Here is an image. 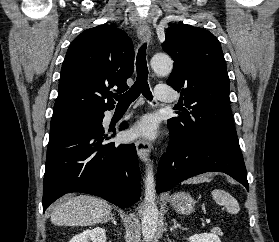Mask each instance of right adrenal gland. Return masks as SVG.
I'll list each match as a JSON object with an SVG mask.
<instances>
[{"label":"right adrenal gland","instance_id":"obj_1","mask_svg":"<svg viewBox=\"0 0 279 242\" xmlns=\"http://www.w3.org/2000/svg\"><path fill=\"white\" fill-rule=\"evenodd\" d=\"M113 216H114V214H110L109 217H108V219H106V220L104 221V223H107L108 221H112V223H113L114 225H117V222H116V220H115V218H114Z\"/></svg>","mask_w":279,"mask_h":242}]
</instances>
